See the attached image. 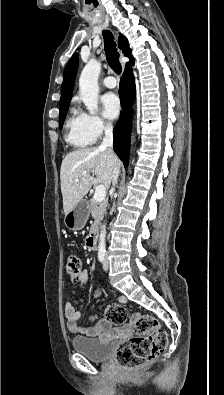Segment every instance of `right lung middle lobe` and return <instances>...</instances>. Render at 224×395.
Here are the masks:
<instances>
[{
	"mask_svg": "<svg viewBox=\"0 0 224 395\" xmlns=\"http://www.w3.org/2000/svg\"><path fill=\"white\" fill-rule=\"evenodd\" d=\"M67 110H68V107L60 110V114H59V126H60V129L62 128L64 119L66 117Z\"/></svg>",
	"mask_w": 224,
	"mask_h": 395,
	"instance_id": "1",
	"label": "right lung middle lobe"
}]
</instances>
